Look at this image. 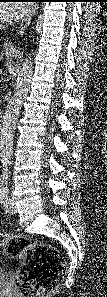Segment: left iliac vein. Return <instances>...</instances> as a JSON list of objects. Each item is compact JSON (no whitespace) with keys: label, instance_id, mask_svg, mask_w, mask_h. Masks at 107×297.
I'll list each match as a JSON object with an SVG mask.
<instances>
[{"label":"left iliac vein","instance_id":"obj_1","mask_svg":"<svg viewBox=\"0 0 107 297\" xmlns=\"http://www.w3.org/2000/svg\"><path fill=\"white\" fill-rule=\"evenodd\" d=\"M4 207L6 211L10 214H15L17 211L13 199H8Z\"/></svg>","mask_w":107,"mask_h":297}]
</instances>
